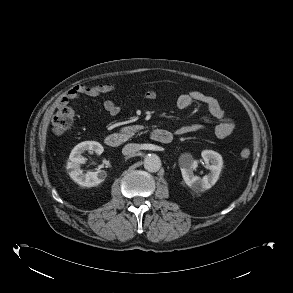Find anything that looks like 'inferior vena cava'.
<instances>
[{
    "instance_id": "1",
    "label": "inferior vena cava",
    "mask_w": 293,
    "mask_h": 293,
    "mask_svg": "<svg viewBox=\"0 0 293 293\" xmlns=\"http://www.w3.org/2000/svg\"><path fill=\"white\" fill-rule=\"evenodd\" d=\"M138 149L139 148H138V145L137 144H135V143H129V144H127V145H125L123 147L122 153H123V155H131V154L137 152Z\"/></svg>"
}]
</instances>
